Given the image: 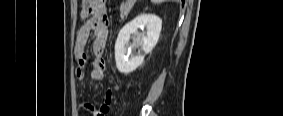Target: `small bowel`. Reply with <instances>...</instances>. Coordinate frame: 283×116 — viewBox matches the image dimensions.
I'll use <instances>...</instances> for the list:
<instances>
[{
  "label": "small bowel",
  "instance_id": "small-bowel-1",
  "mask_svg": "<svg viewBox=\"0 0 283 116\" xmlns=\"http://www.w3.org/2000/svg\"><path fill=\"white\" fill-rule=\"evenodd\" d=\"M103 0H84L81 12L85 20L76 33L74 55L78 62L76 76L82 80L86 75V64L89 56L86 52L90 37L92 38L93 63L90 71L92 81H102L106 69V62L103 58L105 45L108 39L109 19L106 13ZM113 98L112 90L109 88L105 93L104 102L95 107L93 104L84 103V109L92 116H107Z\"/></svg>",
  "mask_w": 283,
  "mask_h": 116
}]
</instances>
